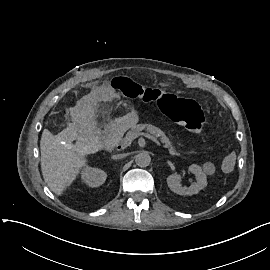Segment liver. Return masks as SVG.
Here are the masks:
<instances>
[{"mask_svg":"<svg viewBox=\"0 0 270 270\" xmlns=\"http://www.w3.org/2000/svg\"><path fill=\"white\" fill-rule=\"evenodd\" d=\"M41 169L48 187L60 195L85 165V155L91 148L83 143L73 147L62 144L49 130L44 129L40 140Z\"/></svg>","mask_w":270,"mask_h":270,"instance_id":"1","label":"liver"}]
</instances>
